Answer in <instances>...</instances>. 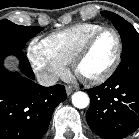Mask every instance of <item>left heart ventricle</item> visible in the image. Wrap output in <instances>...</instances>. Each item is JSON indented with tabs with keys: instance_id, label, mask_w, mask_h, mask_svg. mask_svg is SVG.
I'll return each instance as SVG.
<instances>
[{
	"instance_id": "b2bd125f",
	"label": "left heart ventricle",
	"mask_w": 139,
	"mask_h": 139,
	"mask_svg": "<svg viewBox=\"0 0 139 139\" xmlns=\"http://www.w3.org/2000/svg\"><path fill=\"white\" fill-rule=\"evenodd\" d=\"M116 49L114 34L112 32L103 33L80 62L78 68L80 75L85 78H94L103 74L111 65Z\"/></svg>"
}]
</instances>
